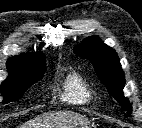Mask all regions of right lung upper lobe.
Listing matches in <instances>:
<instances>
[{
  "label": "right lung upper lobe",
  "instance_id": "cb5924a9",
  "mask_svg": "<svg viewBox=\"0 0 142 128\" xmlns=\"http://www.w3.org/2000/svg\"><path fill=\"white\" fill-rule=\"evenodd\" d=\"M44 62V55L40 52L24 53L22 55L12 57L7 61V69L9 72L7 80L19 77L30 67Z\"/></svg>",
  "mask_w": 142,
  "mask_h": 128
}]
</instances>
